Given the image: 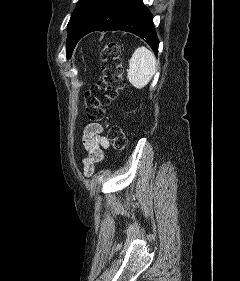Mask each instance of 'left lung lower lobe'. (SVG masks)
<instances>
[{"label": "left lung lower lobe", "mask_w": 240, "mask_h": 281, "mask_svg": "<svg viewBox=\"0 0 240 281\" xmlns=\"http://www.w3.org/2000/svg\"><path fill=\"white\" fill-rule=\"evenodd\" d=\"M123 30L144 39L158 54L153 16L142 0H103L84 25L77 42L93 31Z\"/></svg>", "instance_id": "1"}]
</instances>
